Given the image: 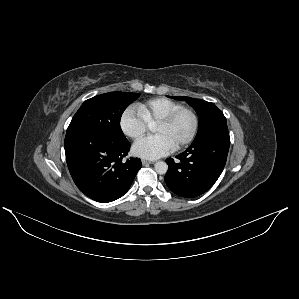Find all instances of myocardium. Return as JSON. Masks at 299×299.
I'll return each instance as SVG.
<instances>
[{"label":"myocardium","mask_w":299,"mask_h":299,"mask_svg":"<svg viewBox=\"0 0 299 299\" xmlns=\"http://www.w3.org/2000/svg\"><path fill=\"white\" fill-rule=\"evenodd\" d=\"M183 112H188L193 117V128H192L190 135L184 141H182L180 144L175 146V149H181V148L189 145L194 140V138L198 132L199 123H200L199 116H198L197 112L190 107H181V108L171 112L166 117L162 118L156 124V125H169V124L173 123L176 120V118Z\"/></svg>","instance_id":"1"}]
</instances>
